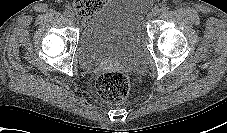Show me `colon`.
Wrapping results in <instances>:
<instances>
[{
  "label": "colon",
  "mask_w": 227,
  "mask_h": 133,
  "mask_svg": "<svg viewBox=\"0 0 227 133\" xmlns=\"http://www.w3.org/2000/svg\"><path fill=\"white\" fill-rule=\"evenodd\" d=\"M106 0H75L74 9L84 19L92 17L105 4ZM98 94L111 103H121L130 93L128 77L119 71H103L96 78Z\"/></svg>",
  "instance_id": "5ec220e1"
}]
</instances>
